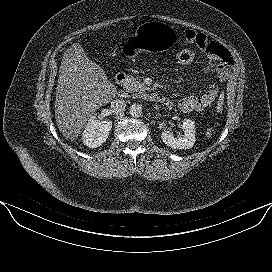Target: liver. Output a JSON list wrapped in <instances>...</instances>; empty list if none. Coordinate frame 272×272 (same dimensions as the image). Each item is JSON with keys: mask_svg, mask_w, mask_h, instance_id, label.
<instances>
[{"mask_svg": "<svg viewBox=\"0 0 272 272\" xmlns=\"http://www.w3.org/2000/svg\"><path fill=\"white\" fill-rule=\"evenodd\" d=\"M116 88L81 45L74 43L62 57L55 97L57 127L66 139L76 140L95 111L109 103Z\"/></svg>", "mask_w": 272, "mask_h": 272, "instance_id": "obj_1", "label": "liver"}]
</instances>
